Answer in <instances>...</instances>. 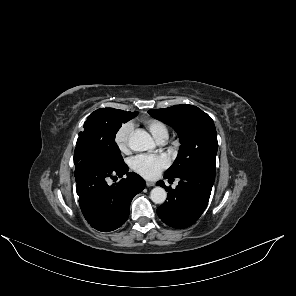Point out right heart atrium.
I'll list each match as a JSON object with an SVG mask.
<instances>
[{
    "instance_id": "1",
    "label": "right heart atrium",
    "mask_w": 296,
    "mask_h": 296,
    "mask_svg": "<svg viewBox=\"0 0 296 296\" xmlns=\"http://www.w3.org/2000/svg\"><path fill=\"white\" fill-rule=\"evenodd\" d=\"M133 127L131 124H123L115 133L114 142L118 150L126 153L130 149V138L132 135Z\"/></svg>"
}]
</instances>
